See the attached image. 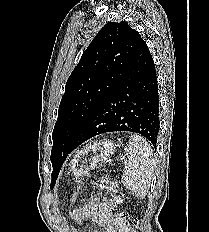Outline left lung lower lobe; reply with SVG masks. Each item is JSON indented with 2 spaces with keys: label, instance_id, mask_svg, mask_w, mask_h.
Here are the masks:
<instances>
[{
  "label": "left lung lower lobe",
  "instance_id": "left-lung-lower-lobe-1",
  "mask_svg": "<svg viewBox=\"0 0 209 232\" xmlns=\"http://www.w3.org/2000/svg\"><path fill=\"white\" fill-rule=\"evenodd\" d=\"M155 64L141 39L121 81L77 132L71 152L99 134L129 131L146 137L156 149L159 132V95Z\"/></svg>",
  "mask_w": 209,
  "mask_h": 232
}]
</instances>
